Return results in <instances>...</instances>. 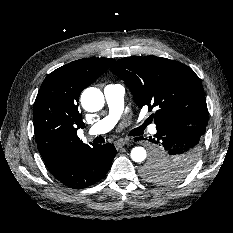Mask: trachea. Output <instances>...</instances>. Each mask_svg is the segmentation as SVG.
Segmentation results:
<instances>
[{"instance_id":"obj_1","label":"trachea","mask_w":233,"mask_h":233,"mask_svg":"<svg viewBox=\"0 0 233 233\" xmlns=\"http://www.w3.org/2000/svg\"><path fill=\"white\" fill-rule=\"evenodd\" d=\"M143 130H144V126H140V127L136 128V129H134V133L135 134H141L143 132Z\"/></svg>"}]
</instances>
